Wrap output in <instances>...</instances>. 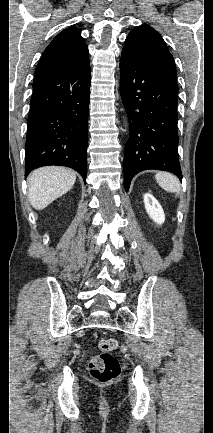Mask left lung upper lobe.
<instances>
[{
	"label": "left lung upper lobe",
	"mask_w": 213,
	"mask_h": 433,
	"mask_svg": "<svg viewBox=\"0 0 213 433\" xmlns=\"http://www.w3.org/2000/svg\"><path fill=\"white\" fill-rule=\"evenodd\" d=\"M124 51L131 53L147 67L176 79L173 56L160 34L147 24L132 29L126 38Z\"/></svg>",
	"instance_id": "obj_1"
}]
</instances>
